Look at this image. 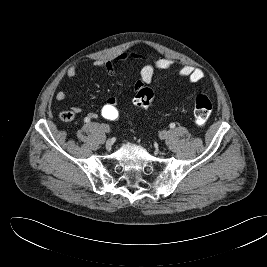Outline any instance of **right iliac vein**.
Wrapping results in <instances>:
<instances>
[{"label": "right iliac vein", "instance_id": "1", "mask_svg": "<svg viewBox=\"0 0 267 267\" xmlns=\"http://www.w3.org/2000/svg\"><path fill=\"white\" fill-rule=\"evenodd\" d=\"M101 127H102V129H103L106 133L110 132V131H109L110 128H109L108 125H106V124H102ZM107 144L109 145V143H107Z\"/></svg>", "mask_w": 267, "mask_h": 267}]
</instances>
